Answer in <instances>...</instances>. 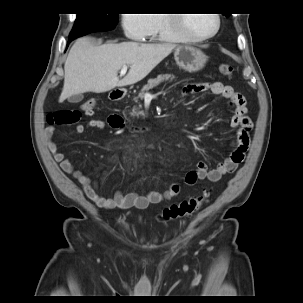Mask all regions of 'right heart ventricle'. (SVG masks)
I'll return each mask as SVG.
<instances>
[{"mask_svg": "<svg viewBox=\"0 0 303 303\" xmlns=\"http://www.w3.org/2000/svg\"><path fill=\"white\" fill-rule=\"evenodd\" d=\"M151 18L153 27L148 34L149 38L167 42H182L185 40L178 30L170 24L168 14H153Z\"/></svg>", "mask_w": 303, "mask_h": 303, "instance_id": "1", "label": "right heart ventricle"}]
</instances>
